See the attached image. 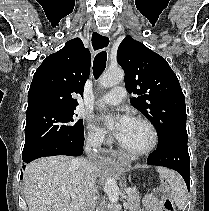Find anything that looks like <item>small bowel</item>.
<instances>
[{
	"label": "small bowel",
	"instance_id": "obj_1",
	"mask_svg": "<svg viewBox=\"0 0 209 211\" xmlns=\"http://www.w3.org/2000/svg\"><path fill=\"white\" fill-rule=\"evenodd\" d=\"M165 190L158 188L144 198L146 211H163L162 204L165 199Z\"/></svg>",
	"mask_w": 209,
	"mask_h": 211
}]
</instances>
